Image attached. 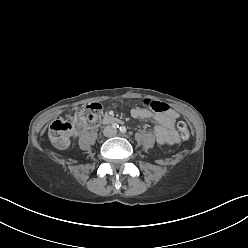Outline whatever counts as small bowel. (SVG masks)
<instances>
[{"instance_id": "obj_1", "label": "small bowel", "mask_w": 248, "mask_h": 248, "mask_svg": "<svg viewBox=\"0 0 248 248\" xmlns=\"http://www.w3.org/2000/svg\"><path fill=\"white\" fill-rule=\"evenodd\" d=\"M131 116L136 119H152L154 122L153 134L160 144L170 146L179 142V135L174 128L175 120L178 118L175 110L168 109L152 115L146 109L134 108L131 110Z\"/></svg>"}]
</instances>
